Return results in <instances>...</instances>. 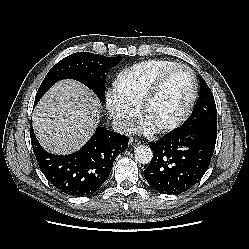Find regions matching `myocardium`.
Segmentation results:
<instances>
[{"instance_id": "myocardium-1", "label": "myocardium", "mask_w": 249, "mask_h": 249, "mask_svg": "<svg viewBox=\"0 0 249 249\" xmlns=\"http://www.w3.org/2000/svg\"><path fill=\"white\" fill-rule=\"evenodd\" d=\"M180 69L187 70L191 76V88H190L189 97H188V100H187V103H186L184 109L174 120H172L171 122H169L167 124H164V125H161V126L155 128L160 133H167V132H170V131H173V130L179 128L190 117V115L194 109V106H195L197 92H198L197 77H196L194 70L186 64H177L173 67L168 68L164 72H162L157 77V79L154 81V83L152 84L150 89L147 91V93L143 97V99L139 105V108H138L141 119L145 120L146 113H147L149 107L151 106L153 101L158 96L165 81L168 79V77L171 74H173L174 72H176L177 70H180Z\"/></svg>"}]
</instances>
